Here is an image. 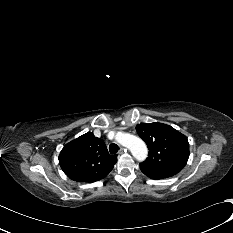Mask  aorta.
I'll return each instance as SVG.
<instances>
[{
    "label": "aorta",
    "instance_id": "aorta-1",
    "mask_svg": "<svg viewBox=\"0 0 233 233\" xmlns=\"http://www.w3.org/2000/svg\"><path fill=\"white\" fill-rule=\"evenodd\" d=\"M116 140L121 145L127 147L136 160L143 161L147 157V147L139 137L127 133H121L116 136Z\"/></svg>",
    "mask_w": 233,
    "mask_h": 233
}]
</instances>
